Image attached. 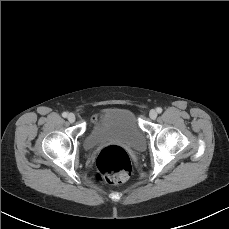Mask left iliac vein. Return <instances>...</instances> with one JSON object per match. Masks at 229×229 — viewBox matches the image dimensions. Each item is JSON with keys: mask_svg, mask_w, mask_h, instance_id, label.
Here are the masks:
<instances>
[{"mask_svg": "<svg viewBox=\"0 0 229 229\" xmlns=\"http://www.w3.org/2000/svg\"><path fill=\"white\" fill-rule=\"evenodd\" d=\"M149 117L151 118V119H155L156 117H157V112L155 111V110H150V112H149Z\"/></svg>", "mask_w": 229, "mask_h": 229, "instance_id": "4c4485c4", "label": "left iliac vein"}]
</instances>
